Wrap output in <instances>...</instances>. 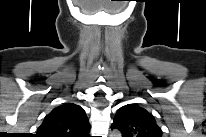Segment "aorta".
<instances>
[{
	"instance_id": "1",
	"label": "aorta",
	"mask_w": 206,
	"mask_h": 137,
	"mask_svg": "<svg viewBox=\"0 0 206 137\" xmlns=\"http://www.w3.org/2000/svg\"><path fill=\"white\" fill-rule=\"evenodd\" d=\"M120 136H121V134L118 131H113L111 134V137H120Z\"/></svg>"
}]
</instances>
